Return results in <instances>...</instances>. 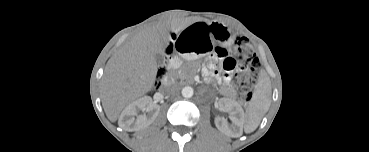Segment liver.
<instances>
[{
  "instance_id": "6515ba94",
  "label": "liver",
  "mask_w": 369,
  "mask_h": 152,
  "mask_svg": "<svg viewBox=\"0 0 369 152\" xmlns=\"http://www.w3.org/2000/svg\"><path fill=\"white\" fill-rule=\"evenodd\" d=\"M178 32L177 21L146 26L126 42L107 62L101 79V99L106 116L115 122L125 106L148 93L158 71L157 55H164L169 31Z\"/></svg>"
}]
</instances>
